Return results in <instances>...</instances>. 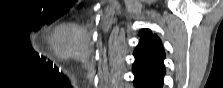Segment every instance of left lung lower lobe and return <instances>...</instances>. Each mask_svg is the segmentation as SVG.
I'll use <instances>...</instances> for the list:
<instances>
[{"mask_svg": "<svg viewBox=\"0 0 223 88\" xmlns=\"http://www.w3.org/2000/svg\"><path fill=\"white\" fill-rule=\"evenodd\" d=\"M136 88H162L165 69L148 61L135 59L133 65Z\"/></svg>", "mask_w": 223, "mask_h": 88, "instance_id": "left-lung-lower-lobe-1", "label": "left lung lower lobe"}]
</instances>
